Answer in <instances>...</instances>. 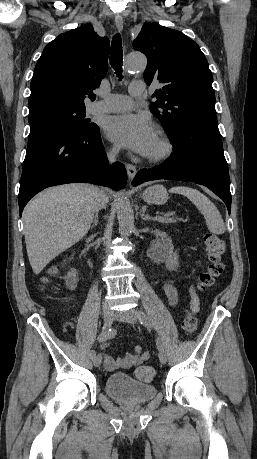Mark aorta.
I'll list each match as a JSON object with an SVG mask.
<instances>
[{"mask_svg": "<svg viewBox=\"0 0 257 459\" xmlns=\"http://www.w3.org/2000/svg\"><path fill=\"white\" fill-rule=\"evenodd\" d=\"M147 65L146 57L142 54L131 53L126 58V72H137L144 70ZM117 218L119 223V233L122 237L130 236L134 229V213L129 199L124 191H120L117 198Z\"/></svg>", "mask_w": 257, "mask_h": 459, "instance_id": "obj_1", "label": "aorta"}]
</instances>
